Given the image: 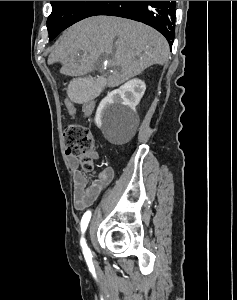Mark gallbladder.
I'll return each mask as SVG.
<instances>
[{"label":"gallbladder","mask_w":237,"mask_h":300,"mask_svg":"<svg viewBox=\"0 0 237 300\" xmlns=\"http://www.w3.org/2000/svg\"><path fill=\"white\" fill-rule=\"evenodd\" d=\"M67 84L66 93L75 105H84L87 101H94L96 94L103 93V76H72ZM92 81V82H91Z\"/></svg>","instance_id":"gallbladder-1"}]
</instances>
